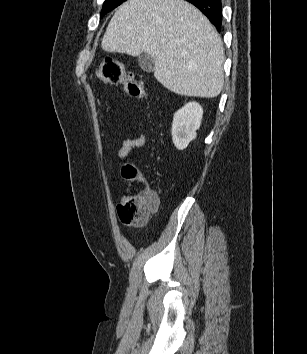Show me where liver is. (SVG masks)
<instances>
[{
  "label": "liver",
  "mask_w": 307,
  "mask_h": 354,
  "mask_svg": "<svg viewBox=\"0 0 307 354\" xmlns=\"http://www.w3.org/2000/svg\"><path fill=\"white\" fill-rule=\"evenodd\" d=\"M106 52L155 61L154 77L185 96L217 97L224 83V49L210 21L184 0H128L113 15L102 40Z\"/></svg>",
  "instance_id": "1"
}]
</instances>
